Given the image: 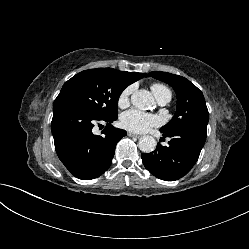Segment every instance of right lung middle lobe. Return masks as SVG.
I'll list each match as a JSON object with an SVG mask.
<instances>
[{"label": "right lung middle lobe", "mask_w": 249, "mask_h": 249, "mask_svg": "<svg viewBox=\"0 0 249 249\" xmlns=\"http://www.w3.org/2000/svg\"><path fill=\"white\" fill-rule=\"evenodd\" d=\"M127 85L109 68L89 69L69 79L55 102H69L98 118L118 114V99Z\"/></svg>", "instance_id": "right-lung-middle-lobe-1"}]
</instances>
